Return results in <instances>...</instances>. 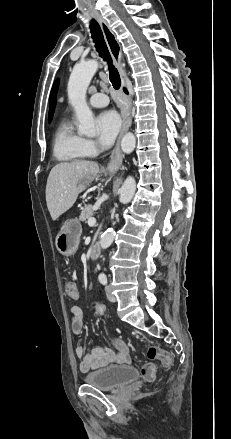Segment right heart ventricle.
<instances>
[{
    "label": "right heart ventricle",
    "mask_w": 231,
    "mask_h": 439,
    "mask_svg": "<svg viewBox=\"0 0 231 439\" xmlns=\"http://www.w3.org/2000/svg\"><path fill=\"white\" fill-rule=\"evenodd\" d=\"M53 154L61 162L79 161L87 155L83 147V138L68 120H64L56 131Z\"/></svg>",
    "instance_id": "e07e8e85"
}]
</instances>
